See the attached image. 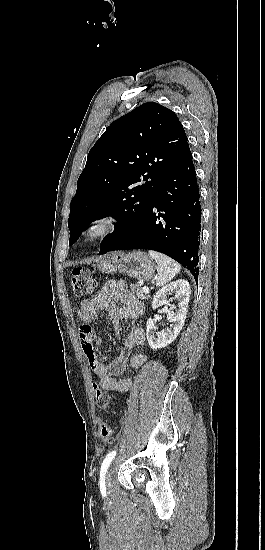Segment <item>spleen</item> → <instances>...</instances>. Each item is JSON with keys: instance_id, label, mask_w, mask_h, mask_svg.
Wrapping results in <instances>:
<instances>
[{"instance_id": "3e777b00", "label": "spleen", "mask_w": 265, "mask_h": 550, "mask_svg": "<svg viewBox=\"0 0 265 550\" xmlns=\"http://www.w3.org/2000/svg\"><path fill=\"white\" fill-rule=\"evenodd\" d=\"M149 255L157 262L156 286L161 287L179 273L181 266L170 257L150 250Z\"/></svg>"}]
</instances>
